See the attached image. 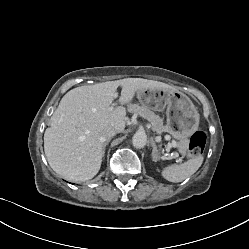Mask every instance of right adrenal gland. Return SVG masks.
Here are the masks:
<instances>
[{
    "mask_svg": "<svg viewBox=\"0 0 249 249\" xmlns=\"http://www.w3.org/2000/svg\"><path fill=\"white\" fill-rule=\"evenodd\" d=\"M108 143H109V140H107V141L104 143V145H103L102 157H104V155H105V148H106V146L108 145Z\"/></svg>",
    "mask_w": 249,
    "mask_h": 249,
    "instance_id": "1",
    "label": "right adrenal gland"
}]
</instances>
